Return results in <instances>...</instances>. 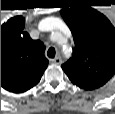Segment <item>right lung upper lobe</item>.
Masks as SVG:
<instances>
[{"mask_svg":"<svg viewBox=\"0 0 115 114\" xmlns=\"http://www.w3.org/2000/svg\"><path fill=\"white\" fill-rule=\"evenodd\" d=\"M24 23L16 16L1 25V86L15 93L35 86L48 66L44 44L23 31Z\"/></svg>","mask_w":115,"mask_h":114,"instance_id":"obj_1","label":"right lung upper lobe"}]
</instances>
